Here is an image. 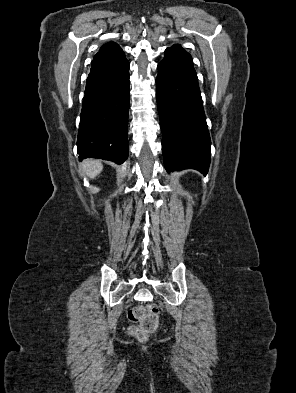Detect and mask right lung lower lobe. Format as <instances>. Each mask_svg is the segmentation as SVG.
I'll list each match as a JSON object with an SVG mask.
<instances>
[{
	"mask_svg": "<svg viewBox=\"0 0 296 393\" xmlns=\"http://www.w3.org/2000/svg\"><path fill=\"white\" fill-rule=\"evenodd\" d=\"M129 62L118 46H102L86 81L77 140L79 160L122 164L128 157Z\"/></svg>",
	"mask_w": 296,
	"mask_h": 393,
	"instance_id": "right-lung-lower-lobe-1",
	"label": "right lung lower lobe"
}]
</instances>
